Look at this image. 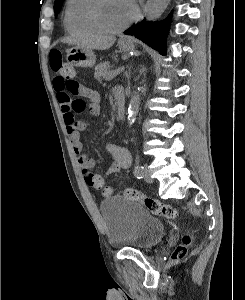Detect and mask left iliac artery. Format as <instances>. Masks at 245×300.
Wrapping results in <instances>:
<instances>
[{
	"label": "left iliac artery",
	"mask_w": 245,
	"mask_h": 300,
	"mask_svg": "<svg viewBox=\"0 0 245 300\" xmlns=\"http://www.w3.org/2000/svg\"><path fill=\"white\" fill-rule=\"evenodd\" d=\"M143 169L144 167L143 166H136L135 169H134V175L138 178V179H141L143 178Z\"/></svg>",
	"instance_id": "44dca946"
}]
</instances>
